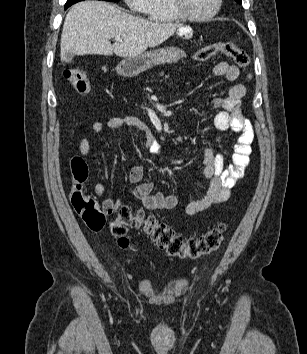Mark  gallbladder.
<instances>
[{
  "label": "gallbladder",
  "instance_id": "gallbladder-1",
  "mask_svg": "<svg viewBox=\"0 0 307 354\" xmlns=\"http://www.w3.org/2000/svg\"><path fill=\"white\" fill-rule=\"evenodd\" d=\"M74 55L71 52L66 53V55L63 57V60L65 62H71L73 59Z\"/></svg>",
  "mask_w": 307,
  "mask_h": 354
}]
</instances>
